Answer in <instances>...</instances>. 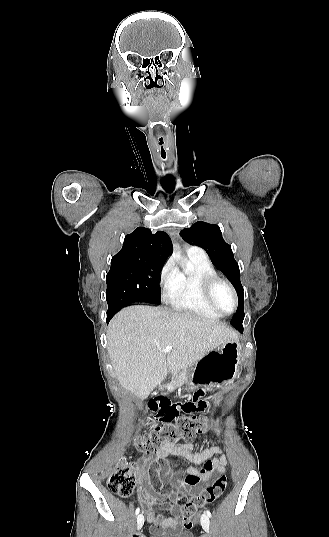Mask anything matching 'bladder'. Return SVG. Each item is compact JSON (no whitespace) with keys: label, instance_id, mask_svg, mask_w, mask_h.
<instances>
[{"label":"bladder","instance_id":"1","mask_svg":"<svg viewBox=\"0 0 329 537\" xmlns=\"http://www.w3.org/2000/svg\"><path fill=\"white\" fill-rule=\"evenodd\" d=\"M150 537H195L190 531L152 532Z\"/></svg>","mask_w":329,"mask_h":537}]
</instances>
